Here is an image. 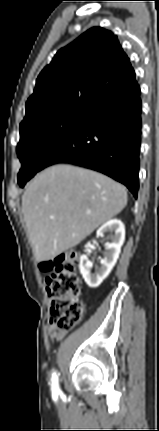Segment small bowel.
I'll return each mask as SVG.
<instances>
[{"mask_svg":"<svg viewBox=\"0 0 159 431\" xmlns=\"http://www.w3.org/2000/svg\"><path fill=\"white\" fill-rule=\"evenodd\" d=\"M67 331L58 328L56 325L52 324L49 326V336L54 340H61L65 337Z\"/></svg>","mask_w":159,"mask_h":431,"instance_id":"c3829d8e","label":"small bowel"}]
</instances>
